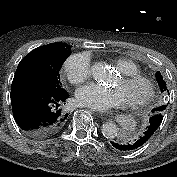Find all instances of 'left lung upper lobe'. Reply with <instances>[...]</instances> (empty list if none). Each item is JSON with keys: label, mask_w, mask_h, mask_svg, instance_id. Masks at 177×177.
<instances>
[{"label": "left lung upper lobe", "mask_w": 177, "mask_h": 177, "mask_svg": "<svg viewBox=\"0 0 177 177\" xmlns=\"http://www.w3.org/2000/svg\"><path fill=\"white\" fill-rule=\"evenodd\" d=\"M156 77H157V81H158L159 86H160V91H161V93L164 94V95H165L166 93L169 94V90H168V88H167V85H166L165 81L163 80V77H162L160 71H158V72L156 73ZM165 108H166V106H162V107H161V113L163 112V110H165Z\"/></svg>", "instance_id": "5c2ea615"}]
</instances>
